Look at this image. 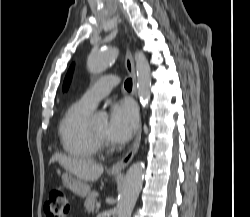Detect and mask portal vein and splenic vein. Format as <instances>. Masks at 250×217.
<instances>
[{
  "mask_svg": "<svg viewBox=\"0 0 250 217\" xmlns=\"http://www.w3.org/2000/svg\"><path fill=\"white\" fill-rule=\"evenodd\" d=\"M101 207V203L100 202H97L96 203V208L99 209Z\"/></svg>",
  "mask_w": 250,
  "mask_h": 217,
  "instance_id": "18ae733b",
  "label": "portal vein and splenic vein"
}]
</instances>
